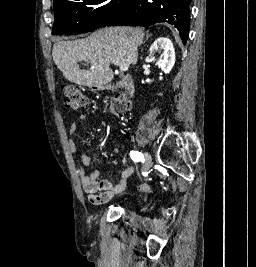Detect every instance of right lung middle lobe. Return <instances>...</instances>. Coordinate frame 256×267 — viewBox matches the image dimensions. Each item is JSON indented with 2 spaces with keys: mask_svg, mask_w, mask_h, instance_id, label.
I'll return each instance as SVG.
<instances>
[{
  "mask_svg": "<svg viewBox=\"0 0 256 267\" xmlns=\"http://www.w3.org/2000/svg\"><path fill=\"white\" fill-rule=\"evenodd\" d=\"M132 0H56L52 35L89 32L120 17Z\"/></svg>",
  "mask_w": 256,
  "mask_h": 267,
  "instance_id": "1",
  "label": "right lung middle lobe"
}]
</instances>
